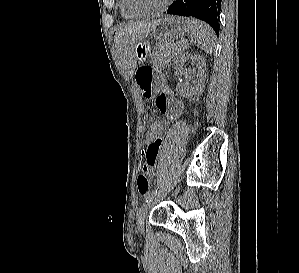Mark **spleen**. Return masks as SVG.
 <instances>
[{
	"label": "spleen",
	"mask_w": 299,
	"mask_h": 273,
	"mask_svg": "<svg viewBox=\"0 0 299 273\" xmlns=\"http://www.w3.org/2000/svg\"><path fill=\"white\" fill-rule=\"evenodd\" d=\"M186 27L190 41L207 54H212L215 34L212 28L197 19L186 18Z\"/></svg>",
	"instance_id": "obj_1"
}]
</instances>
